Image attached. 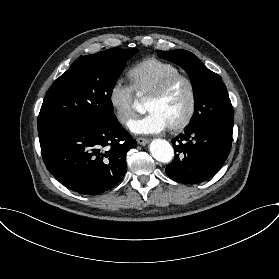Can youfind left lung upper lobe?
<instances>
[{"label": "left lung upper lobe", "instance_id": "obj_1", "mask_svg": "<svg viewBox=\"0 0 279 279\" xmlns=\"http://www.w3.org/2000/svg\"><path fill=\"white\" fill-rule=\"evenodd\" d=\"M158 55L181 66L190 75L194 92L195 113L187 127L206 121L233 124V107L227 89L218 74L209 70L189 51L158 50Z\"/></svg>", "mask_w": 279, "mask_h": 279}]
</instances>
